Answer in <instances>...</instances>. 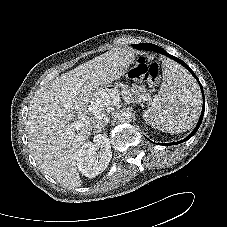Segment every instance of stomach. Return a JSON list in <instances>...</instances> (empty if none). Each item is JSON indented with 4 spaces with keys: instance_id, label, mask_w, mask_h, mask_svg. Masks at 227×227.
Wrapping results in <instances>:
<instances>
[{
    "instance_id": "obj_1",
    "label": "stomach",
    "mask_w": 227,
    "mask_h": 227,
    "mask_svg": "<svg viewBox=\"0 0 227 227\" xmlns=\"http://www.w3.org/2000/svg\"><path fill=\"white\" fill-rule=\"evenodd\" d=\"M109 93L113 94L115 97L117 96V86L115 84H105L96 90L98 97H103Z\"/></svg>"
}]
</instances>
